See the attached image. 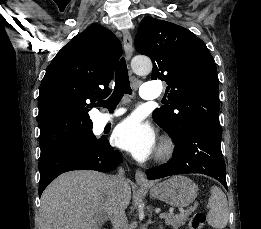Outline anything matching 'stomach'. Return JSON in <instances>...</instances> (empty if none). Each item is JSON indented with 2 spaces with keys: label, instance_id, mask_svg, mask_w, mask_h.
I'll use <instances>...</instances> for the list:
<instances>
[{
  "label": "stomach",
  "instance_id": "stomach-1",
  "mask_svg": "<svg viewBox=\"0 0 261 229\" xmlns=\"http://www.w3.org/2000/svg\"><path fill=\"white\" fill-rule=\"evenodd\" d=\"M151 197L172 207H188L197 197V187L188 177H171L163 183L148 187Z\"/></svg>",
  "mask_w": 261,
  "mask_h": 229
}]
</instances>
